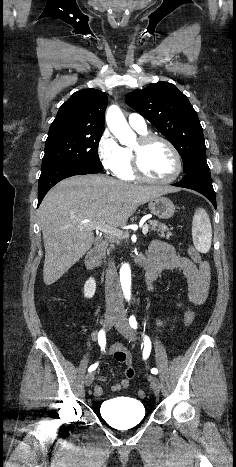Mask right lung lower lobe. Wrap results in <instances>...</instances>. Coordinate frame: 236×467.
I'll list each match as a JSON object with an SVG mask.
<instances>
[{"mask_svg": "<svg viewBox=\"0 0 236 467\" xmlns=\"http://www.w3.org/2000/svg\"><path fill=\"white\" fill-rule=\"evenodd\" d=\"M100 172L102 171L72 161L57 162L43 167L38 185V206L46 193L59 181L74 175H85Z\"/></svg>", "mask_w": 236, "mask_h": 467, "instance_id": "98d812e1", "label": "right lung lower lobe"}]
</instances>
